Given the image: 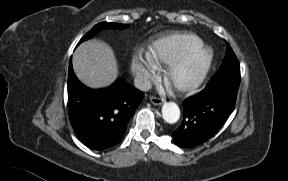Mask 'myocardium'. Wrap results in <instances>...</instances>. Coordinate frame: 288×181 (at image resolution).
<instances>
[{"label": "myocardium", "mask_w": 288, "mask_h": 181, "mask_svg": "<svg viewBox=\"0 0 288 181\" xmlns=\"http://www.w3.org/2000/svg\"><path fill=\"white\" fill-rule=\"evenodd\" d=\"M214 58V50L208 45H201L190 50L168 65L164 71L165 81L174 90L192 91L206 79ZM195 61H200L199 66L192 74H187L188 67Z\"/></svg>", "instance_id": "f54148a6"}]
</instances>
